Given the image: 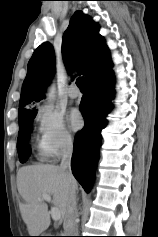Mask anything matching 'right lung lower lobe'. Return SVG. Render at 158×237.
I'll return each mask as SVG.
<instances>
[{"label": "right lung lower lobe", "mask_w": 158, "mask_h": 237, "mask_svg": "<svg viewBox=\"0 0 158 237\" xmlns=\"http://www.w3.org/2000/svg\"><path fill=\"white\" fill-rule=\"evenodd\" d=\"M87 93L80 103L84 117V128L74 141L72 171L86 192L94 181L99 157L100 132L107 123L106 115L112 108L110 101L114 94V74L109 68L86 83Z\"/></svg>", "instance_id": "98d812e1"}]
</instances>
